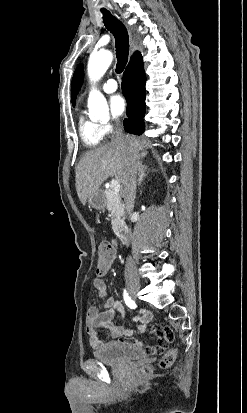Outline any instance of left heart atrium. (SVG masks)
<instances>
[{"instance_id":"left-heart-atrium-1","label":"left heart atrium","mask_w":247,"mask_h":413,"mask_svg":"<svg viewBox=\"0 0 247 413\" xmlns=\"http://www.w3.org/2000/svg\"><path fill=\"white\" fill-rule=\"evenodd\" d=\"M109 106L114 116H121L126 110L125 99L120 94H115L110 97Z\"/></svg>"}]
</instances>
